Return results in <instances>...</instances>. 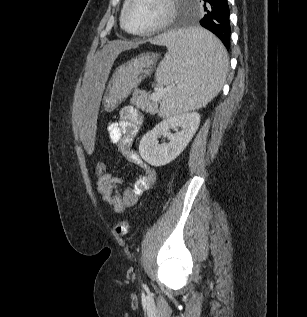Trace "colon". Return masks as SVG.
<instances>
[{
  "mask_svg": "<svg viewBox=\"0 0 307 317\" xmlns=\"http://www.w3.org/2000/svg\"><path fill=\"white\" fill-rule=\"evenodd\" d=\"M95 172L98 177L104 175L107 172V164L104 161H98ZM114 232L117 236H125L128 232V222L125 219L119 220L114 226Z\"/></svg>",
  "mask_w": 307,
  "mask_h": 317,
  "instance_id": "5ec220e1",
  "label": "colon"
}]
</instances>
